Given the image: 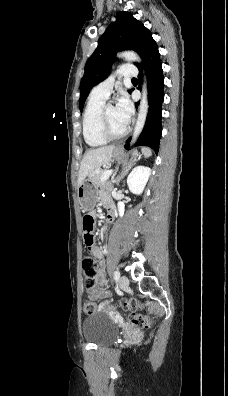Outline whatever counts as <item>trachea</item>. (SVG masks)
<instances>
[{
    "label": "trachea",
    "instance_id": "1",
    "mask_svg": "<svg viewBox=\"0 0 228 396\" xmlns=\"http://www.w3.org/2000/svg\"><path fill=\"white\" fill-rule=\"evenodd\" d=\"M132 81H137V79L136 78H132Z\"/></svg>",
    "mask_w": 228,
    "mask_h": 396
}]
</instances>
